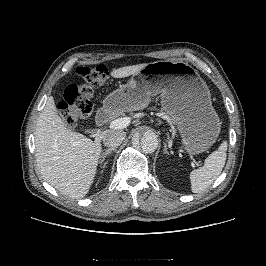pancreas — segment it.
<instances>
[{
    "mask_svg": "<svg viewBox=\"0 0 266 266\" xmlns=\"http://www.w3.org/2000/svg\"><path fill=\"white\" fill-rule=\"evenodd\" d=\"M160 116L165 117L171 124H173V120L165 113H161ZM173 133H175V130H173Z\"/></svg>",
    "mask_w": 266,
    "mask_h": 266,
    "instance_id": "pancreas-1",
    "label": "pancreas"
}]
</instances>
